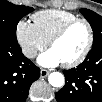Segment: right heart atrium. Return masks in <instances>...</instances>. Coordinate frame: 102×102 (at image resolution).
<instances>
[{"label":"right heart atrium","instance_id":"1","mask_svg":"<svg viewBox=\"0 0 102 102\" xmlns=\"http://www.w3.org/2000/svg\"><path fill=\"white\" fill-rule=\"evenodd\" d=\"M16 36L23 54L28 58H33L48 45V42L40 35L34 24L25 20H20L17 23Z\"/></svg>","mask_w":102,"mask_h":102}]
</instances>
